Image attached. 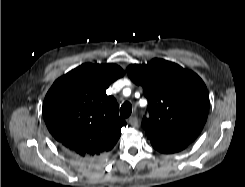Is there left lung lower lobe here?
Instances as JSON below:
<instances>
[{
    "mask_svg": "<svg viewBox=\"0 0 245 187\" xmlns=\"http://www.w3.org/2000/svg\"><path fill=\"white\" fill-rule=\"evenodd\" d=\"M151 144L157 151L165 153V154L179 152L185 149L189 145L186 143L166 145L162 143H153V142H151Z\"/></svg>",
    "mask_w": 245,
    "mask_h": 187,
    "instance_id": "0a47b994",
    "label": "left lung lower lobe"
}]
</instances>
